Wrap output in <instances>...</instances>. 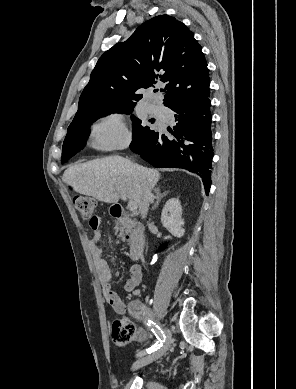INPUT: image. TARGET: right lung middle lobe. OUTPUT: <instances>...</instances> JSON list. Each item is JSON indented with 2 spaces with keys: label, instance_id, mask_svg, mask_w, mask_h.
Segmentation results:
<instances>
[{
  "label": "right lung middle lobe",
  "instance_id": "right-lung-middle-lobe-1",
  "mask_svg": "<svg viewBox=\"0 0 296 389\" xmlns=\"http://www.w3.org/2000/svg\"><path fill=\"white\" fill-rule=\"evenodd\" d=\"M133 108L134 106L94 108L74 117L72 123L68 127V133L64 140L61 161L66 162L84 147L87 137L89 136L90 124L100 117L111 113H131ZM132 122L133 140L130 147L131 149H140L147 143L154 134V131L134 116H132Z\"/></svg>",
  "mask_w": 296,
  "mask_h": 389
}]
</instances>
